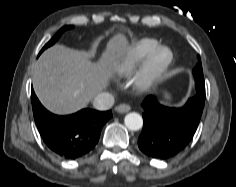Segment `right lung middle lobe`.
I'll return each instance as SVG.
<instances>
[{"instance_id": "dd1d6c3e", "label": "right lung middle lobe", "mask_w": 236, "mask_h": 187, "mask_svg": "<svg viewBox=\"0 0 236 187\" xmlns=\"http://www.w3.org/2000/svg\"><path fill=\"white\" fill-rule=\"evenodd\" d=\"M72 28V26H64L62 27L57 33L56 35L42 48V50L40 51V53H42L47 47L53 45L62 35V33L67 30Z\"/></svg>"}]
</instances>
